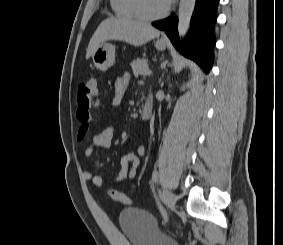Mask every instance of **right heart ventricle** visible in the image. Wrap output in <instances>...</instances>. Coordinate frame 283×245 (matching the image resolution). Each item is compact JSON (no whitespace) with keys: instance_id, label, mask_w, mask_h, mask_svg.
<instances>
[{"instance_id":"1","label":"right heart ventricle","mask_w":283,"mask_h":245,"mask_svg":"<svg viewBox=\"0 0 283 245\" xmlns=\"http://www.w3.org/2000/svg\"><path fill=\"white\" fill-rule=\"evenodd\" d=\"M111 8L114 13L123 18H138L133 0H110Z\"/></svg>"}]
</instances>
